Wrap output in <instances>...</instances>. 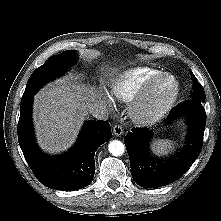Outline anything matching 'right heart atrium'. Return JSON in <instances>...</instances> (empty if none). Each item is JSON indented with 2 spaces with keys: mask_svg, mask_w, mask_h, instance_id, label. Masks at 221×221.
<instances>
[{
  "mask_svg": "<svg viewBox=\"0 0 221 221\" xmlns=\"http://www.w3.org/2000/svg\"><path fill=\"white\" fill-rule=\"evenodd\" d=\"M106 100L108 101V103L112 102V100H111V98L109 96H106Z\"/></svg>",
  "mask_w": 221,
  "mask_h": 221,
  "instance_id": "obj_1",
  "label": "right heart atrium"
}]
</instances>
